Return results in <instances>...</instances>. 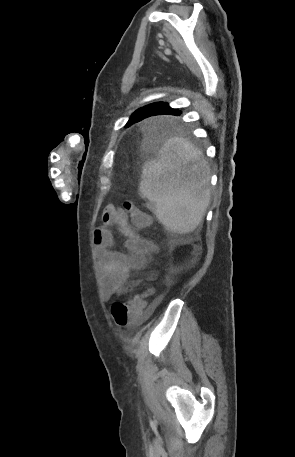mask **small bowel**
Returning a JSON list of instances; mask_svg holds the SVG:
<instances>
[{"label":"small bowel","mask_w":295,"mask_h":457,"mask_svg":"<svg viewBox=\"0 0 295 457\" xmlns=\"http://www.w3.org/2000/svg\"><path fill=\"white\" fill-rule=\"evenodd\" d=\"M103 225L94 231L99 270L107 299L125 294L131 288L130 274L144 269L157 246L141 236L128 221L127 214L119 207L109 204L102 215ZM115 227L125 238L126 252L114 250Z\"/></svg>","instance_id":"c3829d8e"}]
</instances>
